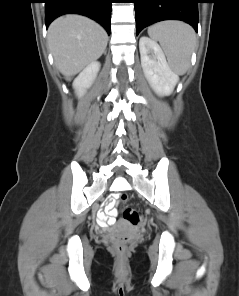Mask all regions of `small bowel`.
I'll return each mask as SVG.
<instances>
[{"instance_id":"obj_1","label":"small bowel","mask_w":239,"mask_h":296,"mask_svg":"<svg viewBox=\"0 0 239 296\" xmlns=\"http://www.w3.org/2000/svg\"><path fill=\"white\" fill-rule=\"evenodd\" d=\"M117 216V210L113 202L108 203L104 210L98 214L100 221L105 224H110L115 220Z\"/></svg>"}]
</instances>
